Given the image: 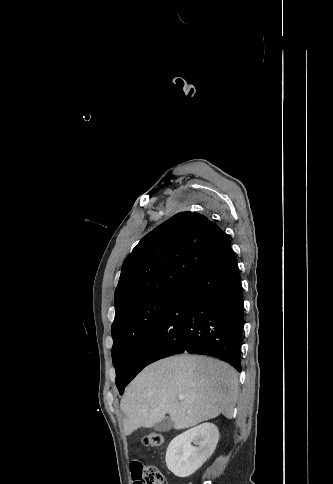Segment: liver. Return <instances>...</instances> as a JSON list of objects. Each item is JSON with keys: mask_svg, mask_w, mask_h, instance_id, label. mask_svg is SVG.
<instances>
[{"mask_svg": "<svg viewBox=\"0 0 333 484\" xmlns=\"http://www.w3.org/2000/svg\"><path fill=\"white\" fill-rule=\"evenodd\" d=\"M238 374L229 364L205 356L184 354L144 368L121 399L126 435L151 428L170 415L175 429L195 426L223 414L234 416ZM183 396V400H179Z\"/></svg>", "mask_w": 333, "mask_h": 484, "instance_id": "1", "label": "liver"}]
</instances>
